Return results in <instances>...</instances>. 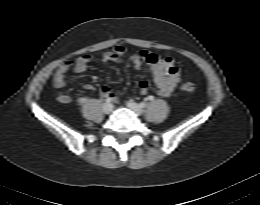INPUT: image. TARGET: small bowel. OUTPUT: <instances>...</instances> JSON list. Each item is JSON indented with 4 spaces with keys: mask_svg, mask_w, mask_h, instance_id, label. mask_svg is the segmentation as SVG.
Listing matches in <instances>:
<instances>
[{
    "mask_svg": "<svg viewBox=\"0 0 260 205\" xmlns=\"http://www.w3.org/2000/svg\"><path fill=\"white\" fill-rule=\"evenodd\" d=\"M125 53V47L118 45L113 50L103 54L99 60L103 63L119 62ZM96 60L97 58L94 55L89 54L75 61L66 60L61 63L52 78V84L56 90V98L60 103L69 104L71 102V97L63 92L66 87L67 72L71 68L78 72L85 71L89 64ZM129 60L136 69L140 68L143 64H146L150 68L153 75L154 85L160 96L169 97L173 93L179 82L180 72L172 58H162L149 51H141L140 53L129 54ZM148 87L149 86L147 81H141L139 83L140 94H146L148 92ZM85 88L87 90L94 89L93 85L91 84H86ZM100 94L103 97L116 100L109 87H102L100 89ZM85 101V98L79 99L80 104L85 103Z\"/></svg>",
    "mask_w": 260,
    "mask_h": 205,
    "instance_id": "1",
    "label": "small bowel"
}]
</instances>
